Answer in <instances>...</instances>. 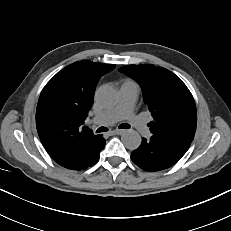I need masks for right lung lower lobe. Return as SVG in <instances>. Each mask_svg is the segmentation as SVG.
Instances as JSON below:
<instances>
[{"instance_id": "1", "label": "right lung lower lobe", "mask_w": 231, "mask_h": 231, "mask_svg": "<svg viewBox=\"0 0 231 231\" xmlns=\"http://www.w3.org/2000/svg\"><path fill=\"white\" fill-rule=\"evenodd\" d=\"M105 143L102 135H95L71 145L60 156L53 159L65 168L84 170L98 161Z\"/></svg>"}]
</instances>
